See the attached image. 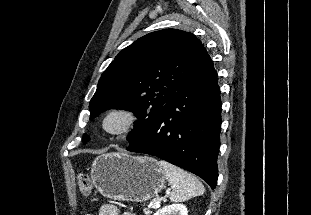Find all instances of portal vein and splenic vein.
I'll use <instances>...</instances> for the list:
<instances>
[{"instance_id": "obj_1", "label": "portal vein and splenic vein", "mask_w": 311, "mask_h": 215, "mask_svg": "<svg viewBox=\"0 0 311 215\" xmlns=\"http://www.w3.org/2000/svg\"><path fill=\"white\" fill-rule=\"evenodd\" d=\"M170 193V191H167V193L166 194H169ZM161 200H166V197H164V198H161L160 200H157L155 203H154V205H153V208H159L160 207V202H161Z\"/></svg>"}]
</instances>
